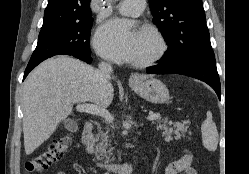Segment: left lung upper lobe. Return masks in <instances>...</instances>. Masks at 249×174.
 <instances>
[{"instance_id": "left-lung-upper-lobe-1", "label": "left lung upper lobe", "mask_w": 249, "mask_h": 174, "mask_svg": "<svg viewBox=\"0 0 249 174\" xmlns=\"http://www.w3.org/2000/svg\"><path fill=\"white\" fill-rule=\"evenodd\" d=\"M149 4L153 22L169 46L163 63L214 57L202 0H149Z\"/></svg>"}]
</instances>
